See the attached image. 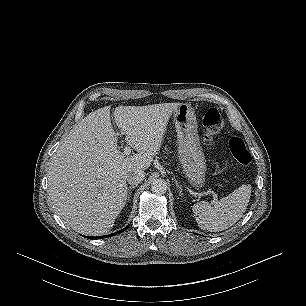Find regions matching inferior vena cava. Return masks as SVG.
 <instances>
[{
	"mask_svg": "<svg viewBox=\"0 0 306 306\" xmlns=\"http://www.w3.org/2000/svg\"><path fill=\"white\" fill-rule=\"evenodd\" d=\"M145 178V172L141 169L130 172L127 176V182L131 185H138Z\"/></svg>",
	"mask_w": 306,
	"mask_h": 306,
	"instance_id": "inferior-vena-cava-1",
	"label": "inferior vena cava"
}]
</instances>
